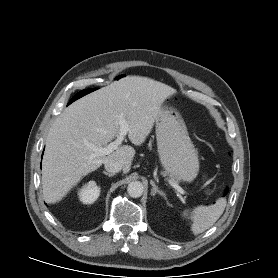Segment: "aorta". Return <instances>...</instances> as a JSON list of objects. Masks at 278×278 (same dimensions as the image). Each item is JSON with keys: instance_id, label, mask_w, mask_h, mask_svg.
Masks as SVG:
<instances>
[{"instance_id": "obj_1", "label": "aorta", "mask_w": 278, "mask_h": 278, "mask_svg": "<svg viewBox=\"0 0 278 278\" xmlns=\"http://www.w3.org/2000/svg\"><path fill=\"white\" fill-rule=\"evenodd\" d=\"M143 191H144V187L140 181H133L127 187V192L132 198L141 197Z\"/></svg>"}]
</instances>
